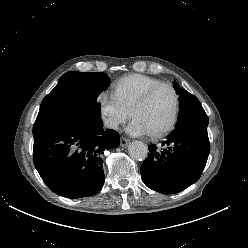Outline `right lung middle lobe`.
<instances>
[{"label":"right lung middle lobe","instance_id":"right-lung-middle-lobe-1","mask_svg":"<svg viewBox=\"0 0 248 248\" xmlns=\"http://www.w3.org/2000/svg\"><path fill=\"white\" fill-rule=\"evenodd\" d=\"M109 83L105 73H65L43 99L35 123H102L97 97Z\"/></svg>","mask_w":248,"mask_h":248}]
</instances>
